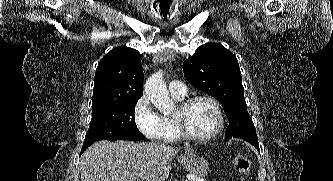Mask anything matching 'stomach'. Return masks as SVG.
<instances>
[{
    "instance_id": "stomach-1",
    "label": "stomach",
    "mask_w": 333,
    "mask_h": 181,
    "mask_svg": "<svg viewBox=\"0 0 333 181\" xmlns=\"http://www.w3.org/2000/svg\"><path fill=\"white\" fill-rule=\"evenodd\" d=\"M181 164L185 170L195 177H205L209 171V163L203 158L196 156L194 150L189 149L181 157Z\"/></svg>"
}]
</instances>
